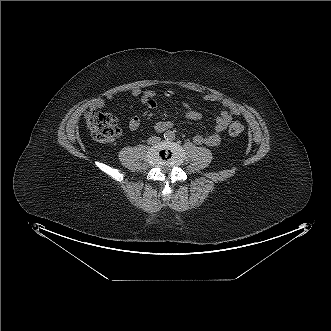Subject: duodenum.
I'll return each instance as SVG.
<instances>
[{
  "label": "duodenum",
  "mask_w": 331,
  "mask_h": 331,
  "mask_svg": "<svg viewBox=\"0 0 331 331\" xmlns=\"http://www.w3.org/2000/svg\"><path fill=\"white\" fill-rule=\"evenodd\" d=\"M170 127H171V125H168V126H167V129L170 128Z\"/></svg>",
  "instance_id": "1"
}]
</instances>
